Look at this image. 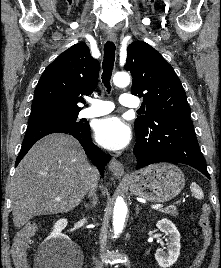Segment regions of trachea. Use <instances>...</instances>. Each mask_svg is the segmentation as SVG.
Listing matches in <instances>:
<instances>
[{"label":"trachea","mask_w":221,"mask_h":268,"mask_svg":"<svg viewBox=\"0 0 221 268\" xmlns=\"http://www.w3.org/2000/svg\"><path fill=\"white\" fill-rule=\"evenodd\" d=\"M115 61V44L111 41L106 42L104 45V60L102 63L103 73H102V81L107 88V92H110L111 85L110 79L113 71Z\"/></svg>","instance_id":"3493384b"}]
</instances>
